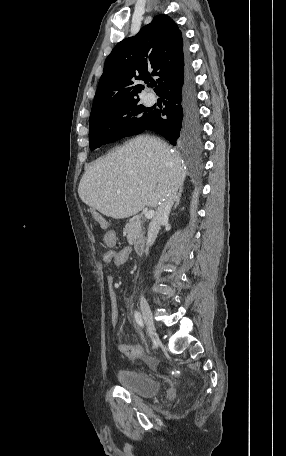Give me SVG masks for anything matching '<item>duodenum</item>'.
I'll return each instance as SVG.
<instances>
[{"label": "duodenum", "instance_id": "duodenum-1", "mask_svg": "<svg viewBox=\"0 0 286 456\" xmlns=\"http://www.w3.org/2000/svg\"><path fill=\"white\" fill-rule=\"evenodd\" d=\"M145 249V241L144 240H139L135 244V251L137 254H141L144 252Z\"/></svg>", "mask_w": 286, "mask_h": 456}]
</instances>
